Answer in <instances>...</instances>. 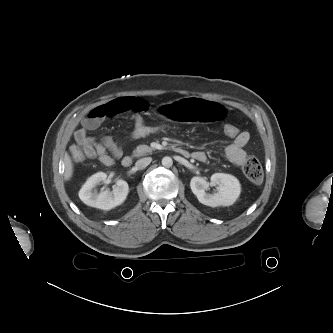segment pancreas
I'll return each instance as SVG.
<instances>
[{"label":"pancreas","mask_w":333,"mask_h":333,"mask_svg":"<svg viewBox=\"0 0 333 333\" xmlns=\"http://www.w3.org/2000/svg\"><path fill=\"white\" fill-rule=\"evenodd\" d=\"M147 152H151V148L147 145H139L136 147V149L133 151L135 156H141Z\"/></svg>","instance_id":"cf45deb5"}]
</instances>
